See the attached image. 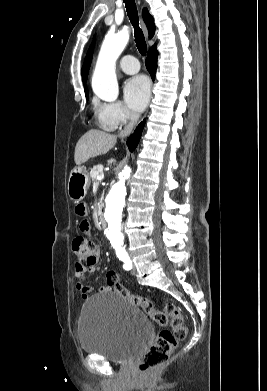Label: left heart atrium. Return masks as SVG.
<instances>
[{
    "mask_svg": "<svg viewBox=\"0 0 267 391\" xmlns=\"http://www.w3.org/2000/svg\"><path fill=\"white\" fill-rule=\"evenodd\" d=\"M124 97L128 106L135 112H141L150 97V83L145 76H135L124 86Z\"/></svg>",
    "mask_w": 267,
    "mask_h": 391,
    "instance_id": "obj_1",
    "label": "left heart atrium"
}]
</instances>
